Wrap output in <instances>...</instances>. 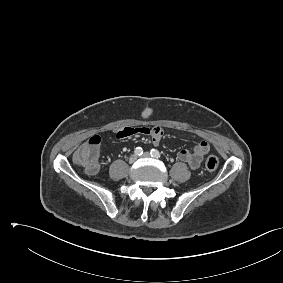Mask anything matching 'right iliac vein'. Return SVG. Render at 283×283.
I'll use <instances>...</instances> for the list:
<instances>
[{"instance_id": "obj_1", "label": "right iliac vein", "mask_w": 283, "mask_h": 283, "mask_svg": "<svg viewBox=\"0 0 283 283\" xmlns=\"http://www.w3.org/2000/svg\"><path fill=\"white\" fill-rule=\"evenodd\" d=\"M137 159H138L137 155H136V154H133V155H131L130 158H129V163L132 164V163L136 162Z\"/></svg>"}]
</instances>
